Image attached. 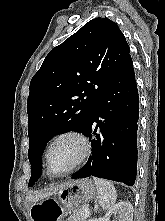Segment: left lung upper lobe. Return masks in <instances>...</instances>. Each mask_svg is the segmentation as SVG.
I'll use <instances>...</instances> for the list:
<instances>
[{
  "mask_svg": "<svg viewBox=\"0 0 165 221\" xmlns=\"http://www.w3.org/2000/svg\"><path fill=\"white\" fill-rule=\"evenodd\" d=\"M129 52L118 25L98 17L48 53L30 82L27 101L28 186L41 175L46 144L68 130L82 131L99 97L131 57Z\"/></svg>",
  "mask_w": 165,
  "mask_h": 221,
  "instance_id": "5c2ea615",
  "label": "left lung upper lobe"
}]
</instances>
